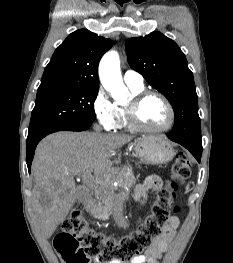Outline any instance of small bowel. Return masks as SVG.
<instances>
[{
    "label": "small bowel",
    "mask_w": 233,
    "mask_h": 263,
    "mask_svg": "<svg viewBox=\"0 0 233 263\" xmlns=\"http://www.w3.org/2000/svg\"><path fill=\"white\" fill-rule=\"evenodd\" d=\"M161 180L156 176L147 177L143 183L139 184L135 189V199H143L148 192L158 191L161 188ZM180 224V220L177 216L169 218L167 223L162 229L161 235L153 240L150 247L146 252L138 257H135L125 263H159L162 256L168 251L169 243L173 240L176 229ZM92 263H122L119 260L102 261L100 259H94Z\"/></svg>",
    "instance_id": "obj_1"
}]
</instances>
